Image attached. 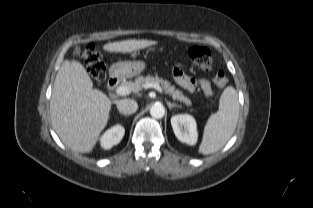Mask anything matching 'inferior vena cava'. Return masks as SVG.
Here are the masks:
<instances>
[{
  "label": "inferior vena cava",
  "instance_id": "inferior-vena-cava-1",
  "mask_svg": "<svg viewBox=\"0 0 313 208\" xmlns=\"http://www.w3.org/2000/svg\"><path fill=\"white\" fill-rule=\"evenodd\" d=\"M117 109L120 113L124 115H130L137 111L138 104L136 101L131 99H122L116 103Z\"/></svg>",
  "mask_w": 313,
  "mask_h": 208
}]
</instances>
